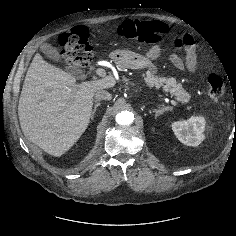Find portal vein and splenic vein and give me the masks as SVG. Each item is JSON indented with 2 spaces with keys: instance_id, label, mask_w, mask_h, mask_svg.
Returning a JSON list of instances; mask_svg holds the SVG:
<instances>
[{
  "instance_id": "obj_1",
  "label": "portal vein and splenic vein",
  "mask_w": 236,
  "mask_h": 236,
  "mask_svg": "<svg viewBox=\"0 0 236 236\" xmlns=\"http://www.w3.org/2000/svg\"><path fill=\"white\" fill-rule=\"evenodd\" d=\"M96 74L100 77H103V78L107 77L105 70L102 68L96 69ZM171 104L174 106H177V103L174 100H171Z\"/></svg>"
}]
</instances>
